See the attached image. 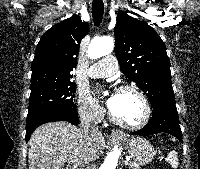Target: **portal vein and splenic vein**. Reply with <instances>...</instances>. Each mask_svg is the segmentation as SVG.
<instances>
[{
  "label": "portal vein and splenic vein",
  "mask_w": 200,
  "mask_h": 169,
  "mask_svg": "<svg viewBox=\"0 0 200 169\" xmlns=\"http://www.w3.org/2000/svg\"><path fill=\"white\" fill-rule=\"evenodd\" d=\"M72 163L76 164L74 161H71ZM129 160H125V164H128Z\"/></svg>",
  "instance_id": "obj_1"
}]
</instances>
